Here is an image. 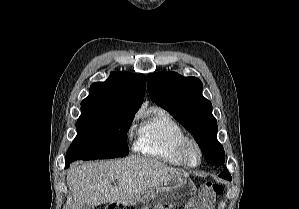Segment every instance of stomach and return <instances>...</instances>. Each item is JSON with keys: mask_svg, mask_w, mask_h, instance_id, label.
<instances>
[{"mask_svg": "<svg viewBox=\"0 0 299 209\" xmlns=\"http://www.w3.org/2000/svg\"><path fill=\"white\" fill-rule=\"evenodd\" d=\"M196 193L193 181L179 176L145 191L134 200L110 203L108 209H191Z\"/></svg>", "mask_w": 299, "mask_h": 209, "instance_id": "0dacf381", "label": "stomach"}]
</instances>
